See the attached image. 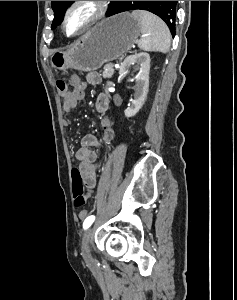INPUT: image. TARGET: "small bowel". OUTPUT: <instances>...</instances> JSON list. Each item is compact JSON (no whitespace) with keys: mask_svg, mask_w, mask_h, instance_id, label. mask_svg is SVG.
I'll return each instance as SVG.
<instances>
[{"mask_svg":"<svg viewBox=\"0 0 237 300\" xmlns=\"http://www.w3.org/2000/svg\"><path fill=\"white\" fill-rule=\"evenodd\" d=\"M101 82V76L96 72H90L86 76V81L82 82L78 76L71 77V83L75 87L79 84L98 85ZM63 99V109L65 112H72L81 98L76 97L72 91L61 93ZM95 108L99 113H106L109 109V99L105 94H99L95 101ZM68 125V124H67ZM101 137L98 138L94 134H86L82 137L80 147L76 151L75 157L80 162L78 169L84 178V186L89 197L96 186V176L99 168L98 149L107 151L106 145L115 137V122L104 117L100 120ZM86 210L79 212L80 219L87 216Z\"/></svg>","mask_w":237,"mask_h":300,"instance_id":"obj_1","label":"small bowel"}]
</instances>
